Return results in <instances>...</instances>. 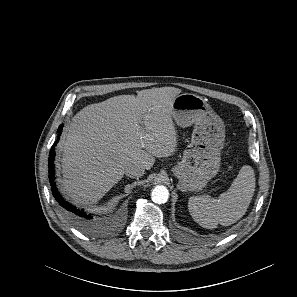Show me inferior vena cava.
I'll list each match as a JSON object with an SVG mask.
<instances>
[{"label": "inferior vena cava", "instance_id": "inferior-vena-cava-1", "mask_svg": "<svg viewBox=\"0 0 297 297\" xmlns=\"http://www.w3.org/2000/svg\"><path fill=\"white\" fill-rule=\"evenodd\" d=\"M145 168L138 164H130L125 168V174L129 177H140L144 174Z\"/></svg>", "mask_w": 297, "mask_h": 297}]
</instances>
